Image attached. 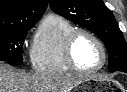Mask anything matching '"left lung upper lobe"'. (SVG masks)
I'll return each mask as SVG.
<instances>
[{"label":"left lung upper lobe","instance_id":"obj_1","mask_svg":"<svg viewBox=\"0 0 127 92\" xmlns=\"http://www.w3.org/2000/svg\"><path fill=\"white\" fill-rule=\"evenodd\" d=\"M51 9L97 35L109 54L110 72L127 69V45L113 13L102 0H49Z\"/></svg>","mask_w":127,"mask_h":92}]
</instances>
